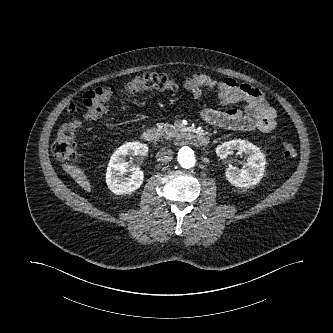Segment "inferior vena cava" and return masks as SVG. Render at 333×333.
<instances>
[{
	"instance_id": "602c4592",
	"label": "inferior vena cava",
	"mask_w": 333,
	"mask_h": 333,
	"mask_svg": "<svg viewBox=\"0 0 333 333\" xmlns=\"http://www.w3.org/2000/svg\"><path fill=\"white\" fill-rule=\"evenodd\" d=\"M172 157H173V152L169 148H162L156 154V158L159 162L171 161Z\"/></svg>"
}]
</instances>
